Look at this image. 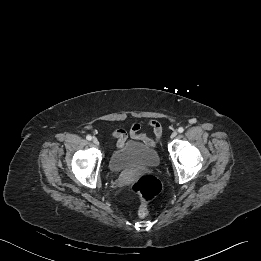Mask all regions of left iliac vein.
I'll return each mask as SVG.
<instances>
[{"instance_id": "obj_1", "label": "left iliac vein", "mask_w": 261, "mask_h": 261, "mask_svg": "<svg viewBox=\"0 0 261 261\" xmlns=\"http://www.w3.org/2000/svg\"><path fill=\"white\" fill-rule=\"evenodd\" d=\"M176 136H177V132L176 131L172 132L171 138H175Z\"/></svg>"}]
</instances>
